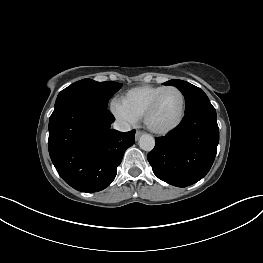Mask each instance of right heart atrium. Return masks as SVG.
I'll return each instance as SVG.
<instances>
[{
	"label": "right heart atrium",
	"mask_w": 263,
	"mask_h": 263,
	"mask_svg": "<svg viewBox=\"0 0 263 263\" xmlns=\"http://www.w3.org/2000/svg\"><path fill=\"white\" fill-rule=\"evenodd\" d=\"M111 112L124 125H134L138 118L128 112L123 105L118 101H113L111 103Z\"/></svg>",
	"instance_id": "d8ad5b80"
}]
</instances>
